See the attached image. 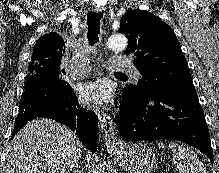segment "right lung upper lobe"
Instances as JSON below:
<instances>
[{"instance_id":"cb5924a9","label":"right lung upper lobe","mask_w":219,"mask_h":173,"mask_svg":"<svg viewBox=\"0 0 219 173\" xmlns=\"http://www.w3.org/2000/svg\"><path fill=\"white\" fill-rule=\"evenodd\" d=\"M65 43L56 33L45 34L36 42L31 56L30 64L43 62L61 64L65 53Z\"/></svg>"}]
</instances>
